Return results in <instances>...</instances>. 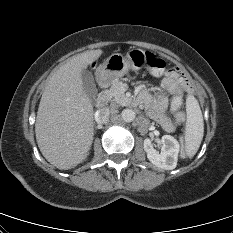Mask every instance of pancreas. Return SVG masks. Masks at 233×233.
<instances>
[{
	"label": "pancreas",
	"mask_w": 233,
	"mask_h": 233,
	"mask_svg": "<svg viewBox=\"0 0 233 233\" xmlns=\"http://www.w3.org/2000/svg\"><path fill=\"white\" fill-rule=\"evenodd\" d=\"M110 98H113V101L119 105L127 106L131 103V99L125 96L124 91L122 90V83L116 81L109 90L105 92Z\"/></svg>",
	"instance_id": "obj_1"
}]
</instances>
